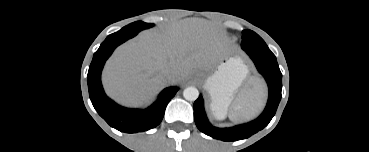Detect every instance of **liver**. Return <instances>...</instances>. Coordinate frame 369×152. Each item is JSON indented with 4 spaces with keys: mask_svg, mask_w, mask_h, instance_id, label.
<instances>
[{
    "mask_svg": "<svg viewBox=\"0 0 369 152\" xmlns=\"http://www.w3.org/2000/svg\"><path fill=\"white\" fill-rule=\"evenodd\" d=\"M220 39L219 28L203 19L144 31L108 60L102 77L105 90L121 104L143 105L168 84L188 78L194 68L208 66L219 54ZM261 87L256 84L249 91Z\"/></svg>",
    "mask_w": 369,
    "mask_h": 152,
    "instance_id": "liver-1",
    "label": "liver"
}]
</instances>
